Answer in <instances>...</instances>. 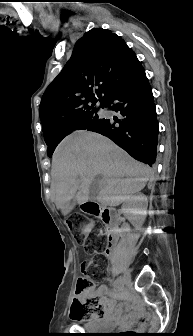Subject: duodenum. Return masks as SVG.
<instances>
[{
	"instance_id": "duodenum-1",
	"label": "duodenum",
	"mask_w": 193,
	"mask_h": 336,
	"mask_svg": "<svg viewBox=\"0 0 193 336\" xmlns=\"http://www.w3.org/2000/svg\"><path fill=\"white\" fill-rule=\"evenodd\" d=\"M83 209L98 216L105 224L107 235L105 254L108 258L113 257L117 243V231L120 225L117 212L114 208L99 207L98 204L90 202H86Z\"/></svg>"
}]
</instances>
